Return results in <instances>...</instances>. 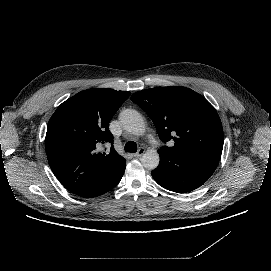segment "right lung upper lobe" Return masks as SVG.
<instances>
[{"instance_id":"right-lung-upper-lobe-1","label":"right lung upper lobe","mask_w":271,"mask_h":271,"mask_svg":"<svg viewBox=\"0 0 271 271\" xmlns=\"http://www.w3.org/2000/svg\"><path fill=\"white\" fill-rule=\"evenodd\" d=\"M130 92L88 89L63 102L49 120L45 149L58 180L79 196L100 193L122 174L126 160L113 148L109 122ZM110 143L108 154L97 146Z\"/></svg>"}]
</instances>
